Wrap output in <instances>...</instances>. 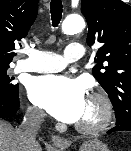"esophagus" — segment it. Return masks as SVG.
I'll list each match as a JSON object with an SVG mask.
<instances>
[{"label":"esophagus","mask_w":131,"mask_h":151,"mask_svg":"<svg viewBox=\"0 0 131 151\" xmlns=\"http://www.w3.org/2000/svg\"><path fill=\"white\" fill-rule=\"evenodd\" d=\"M51 142L53 145L60 147V148H66L68 145L67 140L61 138L58 135H52L51 137Z\"/></svg>","instance_id":"34e87169"}]
</instances>
